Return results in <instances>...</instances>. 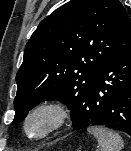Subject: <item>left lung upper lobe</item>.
<instances>
[{
    "instance_id": "1",
    "label": "left lung upper lobe",
    "mask_w": 131,
    "mask_h": 151,
    "mask_svg": "<svg viewBox=\"0 0 131 151\" xmlns=\"http://www.w3.org/2000/svg\"><path fill=\"white\" fill-rule=\"evenodd\" d=\"M131 47V19L118 0H71L42 20L16 75L13 124L45 100L71 109L74 125L102 68Z\"/></svg>"
}]
</instances>
